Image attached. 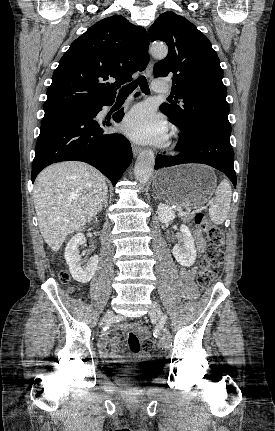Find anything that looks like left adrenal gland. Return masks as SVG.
<instances>
[{
	"mask_svg": "<svg viewBox=\"0 0 275 431\" xmlns=\"http://www.w3.org/2000/svg\"><path fill=\"white\" fill-rule=\"evenodd\" d=\"M154 199H159V197L158 196H156V197H153Z\"/></svg>",
	"mask_w": 275,
	"mask_h": 431,
	"instance_id": "obj_1",
	"label": "left adrenal gland"
}]
</instances>
